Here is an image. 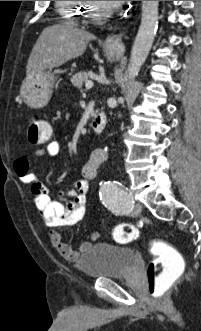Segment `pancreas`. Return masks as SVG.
Masks as SVG:
<instances>
[{"mask_svg": "<svg viewBox=\"0 0 201 331\" xmlns=\"http://www.w3.org/2000/svg\"><path fill=\"white\" fill-rule=\"evenodd\" d=\"M87 81H88V73L86 72H79L71 78V83L79 89H81L83 83Z\"/></svg>", "mask_w": 201, "mask_h": 331, "instance_id": "obj_1", "label": "pancreas"}]
</instances>
